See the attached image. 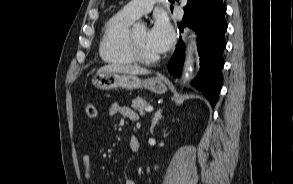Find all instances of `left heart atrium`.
<instances>
[{"label":"left heart atrium","instance_id":"1","mask_svg":"<svg viewBox=\"0 0 293 184\" xmlns=\"http://www.w3.org/2000/svg\"><path fill=\"white\" fill-rule=\"evenodd\" d=\"M147 41L156 53L167 51L174 41V30L171 24L164 18H157L147 31Z\"/></svg>","mask_w":293,"mask_h":184}]
</instances>
